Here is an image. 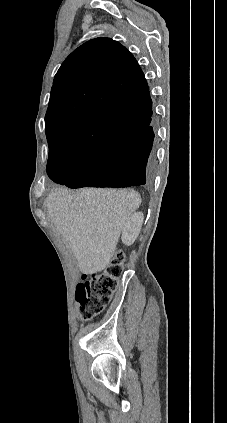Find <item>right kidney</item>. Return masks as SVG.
Listing matches in <instances>:
<instances>
[{
    "label": "right kidney",
    "mask_w": 227,
    "mask_h": 423,
    "mask_svg": "<svg viewBox=\"0 0 227 423\" xmlns=\"http://www.w3.org/2000/svg\"><path fill=\"white\" fill-rule=\"evenodd\" d=\"M144 221V213L142 211H135L127 219L122 229V241L125 245H132L137 239Z\"/></svg>",
    "instance_id": "right-kidney-1"
}]
</instances>
